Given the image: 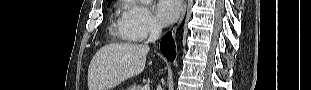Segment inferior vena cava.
<instances>
[{"mask_svg": "<svg viewBox=\"0 0 311 90\" xmlns=\"http://www.w3.org/2000/svg\"><path fill=\"white\" fill-rule=\"evenodd\" d=\"M161 31H162V28L160 25L153 24L150 30V35H149L147 43L148 42L154 43L160 37ZM158 89H160V86H158Z\"/></svg>", "mask_w": 311, "mask_h": 90, "instance_id": "602c4592", "label": "inferior vena cava"}]
</instances>
